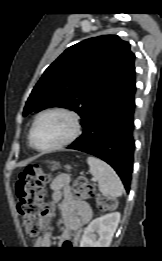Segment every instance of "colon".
<instances>
[{
  "mask_svg": "<svg viewBox=\"0 0 162 261\" xmlns=\"http://www.w3.org/2000/svg\"><path fill=\"white\" fill-rule=\"evenodd\" d=\"M49 177L37 165L29 166L20 173L16 183L17 209L22 217L27 235L37 236L42 227L45 210L41 206V197ZM96 195L94 186L85 177H79L74 182V198L85 200ZM116 202L105 195H97V205L100 209L113 208Z\"/></svg>",
  "mask_w": 162,
  "mask_h": 261,
  "instance_id": "colon-1",
  "label": "colon"
}]
</instances>
